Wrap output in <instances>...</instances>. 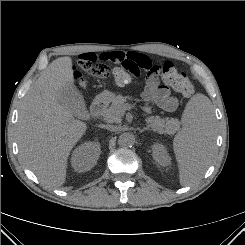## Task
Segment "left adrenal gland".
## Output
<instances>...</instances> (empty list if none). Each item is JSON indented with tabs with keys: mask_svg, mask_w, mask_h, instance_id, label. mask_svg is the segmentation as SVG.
Listing matches in <instances>:
<instances>
[{
	"mask_svg": "<svg viewBox=\"0 0 245 245\" xmlns=\"http://www.w3.org/2000/svg\"><path fill=\"white\" fill-rule=\"evenodd\" d=\"M140 133L146 131V130H150L148 127H144L143 129H138Z\"/></svg>",
	"mask_w": 245,
	"mask_h": 245,
	"instance_id": "left-adrenal-gland-1",
	"label": "left adrenal gland"
}]
</instances>
